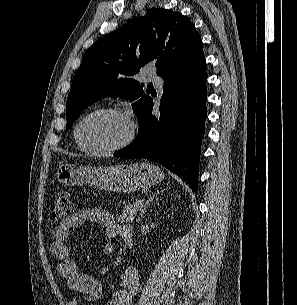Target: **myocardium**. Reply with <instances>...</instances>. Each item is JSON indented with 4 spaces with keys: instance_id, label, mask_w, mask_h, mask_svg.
Masks as SVG:
<instances>
[{
    "instance_id": "f54148a6",
    "label": "myocardium",
    "mask_w": 297,
    "mask_h": 305,
    "mask_svg": "<svg viewBox=\"0 0 297 305\" xmlns=\"http://www.w3.org/2000/svg\"><path fill=\"white\" fill-rule=\"evenodd\" d=\"M104 113L114 114V115L122 117L128 125L127 135L125 136V138L122 141H120L119 143L114 144L112 146H107V147L84 146L81 141V137H80V128H81L83 122L91 116H94L97 114H104ZM136 132H137V125H136V122H135L133 116L131 115V113L129 111L124 110L119 107L108 106V107L96 108V109L86 113L84 116H82L75 125L74 138H75L77 146L83 152L90 153V154H109V153H114V152L120 151V150L126 148L127 146H129L135 139Z\"/></svg>"
}]
</instances>
